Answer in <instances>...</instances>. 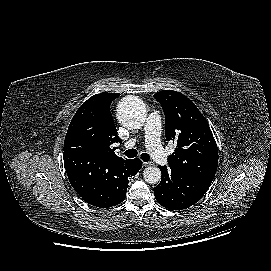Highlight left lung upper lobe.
<instances>
[{
    "label": "left lung upper lobe",
    "instance_id": "1",
    "mask_svg": "<svg viewBox=\"0 0 271 271\" xmlns=\"http://www.w3.org/2000/svg\"><path fill=\"white\" fill-rule=\"evenodd\" d=\"M165 114L166 139L176 143L168 168L210 186L218 165V149L205 117L185 95L163 90L154 94Z\"/></svg>",
    "mask_w": 271,
    "mask_h": 271
}]
</instances>
